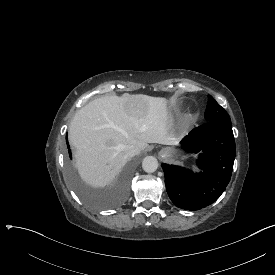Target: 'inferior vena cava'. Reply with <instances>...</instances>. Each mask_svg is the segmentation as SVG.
<instances>
[{
    "mask_svg": "<svg viewBox=\"0 0 275 275\" xmlns=\"http://www.w3.org/2000/svg\"><path fill=\"white\" fill-rule=\"evenodd\" d=\"M124 154L127 157H133V156L139 154V151L133 145H126L124 147Z\"/></svg>",
    "mask_w": 275,
    "mask_h": 275,
    "instance_id": "1",
    "label": "inferior vena cava"
}]
</instances>
